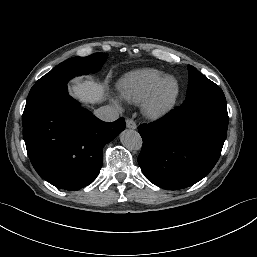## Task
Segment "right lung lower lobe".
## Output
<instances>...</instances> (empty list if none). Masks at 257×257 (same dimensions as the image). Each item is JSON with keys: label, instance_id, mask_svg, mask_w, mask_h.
Returning a JSON list of instances; mask_svg holds the SVG:
<instances>
[{"label": "right lung lower lobe", "instance_id": "right-lung-lower-lobe-1", "mask_svg": "<svg viewBox=\"0 0 257 257\" xmlns=\"http://www.w3.org/2000/svg\"><path fill=\"white\" fill-rule=\"evenodd\" d=\"M63 77L35 84L23 112V138L37 173L60 189L78 190L102 167L103 146L125 129L119 118L107 123L68 95Z\"/></svg>", "mask_w": 257, "mask_h": 257}]
</instances>
